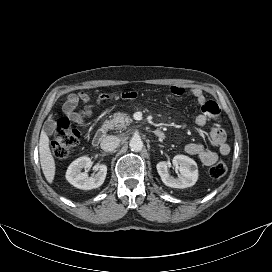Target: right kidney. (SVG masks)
Segmentation results:
<instances>
[{"label": "right kidney", "instance_id": "1", "mask_svg": "<svg viewBox=\"0 0 272 272\" xmlns=\"http://www.w3.org/2000/svg\"><path fill=\"white\" fill-rule=\"evenodd\" d=\"M91 166L92 161L87 156L76 159L68 167L66 172V179L74 187L83 190H91L100 187L106 178L107 166L105 164L98 165L96 167L98 172L94 177H88L85 172H81L83 168L86 170L90 169Z\"/></svg>", "mask_w": 272, "mask_h": 272}]
</instances>
